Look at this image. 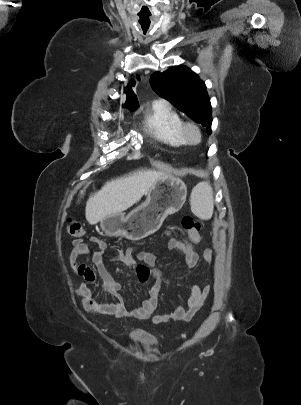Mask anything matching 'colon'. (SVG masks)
<instances>
[{
  "instance_id": "1",
  "label": "colon",
  "mask_w": 301,
  "mask_h": 405,
  "mask_svg": "<svg viewBox=\"0 0 301 405\" xmlns=\"http://www.w3.org/2000/svg\"><path fill=\"white\" fill-rule=\"evenodd\" d=\"M181 225L184 230L187 232L188 237H184V242H190L194 247H197L202 241L200 237L201 224L193 219L192 217L185 216L181 220ZM67 232L74 237H81L84 235V229L80 222L69 219L67 224ZM86 306L92 310H98L100 305L95 302L93 299H89L86 302Z\"/></svg>"
}]
</instances>
